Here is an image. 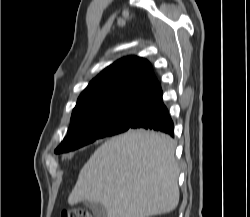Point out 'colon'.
Segmentation results:
<instances>
[{"mask_svg":"<svg viewBox=\"0 0 250 217\" xmlns=\"http://www.w3.org/2000/svg\"><path fill=\"white\" fill-rule=\"evenodd\" d=\"M61 217H92V215L81 208H72L61 213Z\"/></svg>","mask_w":250,"mask_h":217,"instance_id":"obj_1","label":"colon"}]
</instances>
